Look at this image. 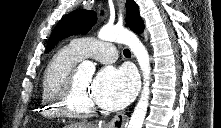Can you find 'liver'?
<instances>
[{"label": "liver", "mask_w": 221, "mask_h": 128, "mask_svg": "<svg viewBox=\"0 0 221 128\" xmlns=\"http://www.w3.org/2000/svg\"><path fill=\"white\" fill-rule=\"evenodd\" d=\"M65 128H94V127L88 124L74 123L71 125H66Z\"/></svg>", "instance_id": "obj_1"}]
</instances>
